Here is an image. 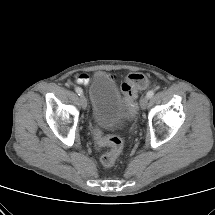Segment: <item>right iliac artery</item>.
<instances>
[{
	"label": "right iliac artery",
	"mask_w": 215,
	"mask_h": 215,
	"mask_svg": "<svg viewBox=\"0 0 215 215\" xmlns=\"http://www.w3.org/2000/svg\"><path fill=\"white\" fill-rule=\"evenodd\" d=\"M75 91L78 93L79 96L83 94L82 89L79 88V87H76V88H75Z\"/></svg>",
	"instance_id": "1"
}]
</instances>
